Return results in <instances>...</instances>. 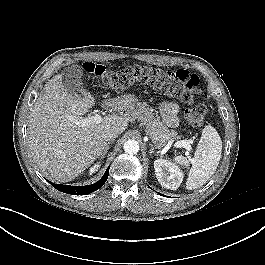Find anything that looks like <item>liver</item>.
<instances>
[{
  "instance_id": "liver-1",
  "label": "liver",
  "mask_w": 265,
  "mask_h": 265,
  "mask_svg": "<svg viewBox=\"0 0 265 265\" xmlns=\"http://www.w3.org/2000/svg\"><path fill=\"white\" fill-rule=\"evenodd\" d=\"M85 89L81 95L69 93L62 75L53 76L44 86L30 114L28 144L38 168L47 176L69 182L94 163L107 144L103 134H121L128 127L125 117L107 114L98 124L78 126L80 119L95 105ZM128 98L112 101L115 110H128Z\"/></svg>"
}]
</instances>
